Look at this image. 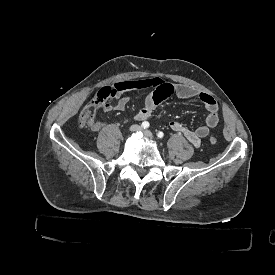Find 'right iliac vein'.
<instances>
[{"label":"right iliac vein","instance_id":"1","mask_svg":"<svg viewBox=\"0 0 275 275\" xmlns=\"http://www.w3.org/2000/svg\"><path fill=\"white\" fill-rule=\"evenodd\" d=\"M140 129H141V127L137 124H134L130 127L131 132L139 131Z\"/></svg>","mask_w":275,"mask_h":275}]
</instances>
